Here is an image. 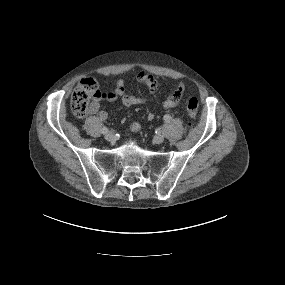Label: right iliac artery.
<instances>
[{"instance_id": "82829eb1", "label": "right iliac artery", "mask_w": 285, "mask_h": 285, "mask_svg": "<svg viewBox=\"0 0 285 285\" xmlns=\"http://www.w3.org/2000/svg\"><path fill=\"white\" fill-rule=\"evenodd\" d=\"M108 131H109L108 128H106V127H103V128H102V133H103V134L108 133Z\"/></svg>"}]
</instances>
